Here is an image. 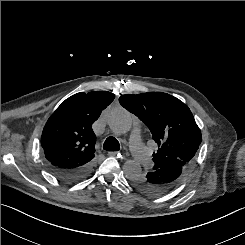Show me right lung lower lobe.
I'll use <instances>...</instances> for the list:
<instances>
[{"label": "right lung lower lobe", "instance_id": "right-lung-lower-lobe-1", "mask_svg": "<svg viewBox=\"0 0 245 245\" xmlns=\"http://www.w3.org/2000/svg\"><path fill=\"white\" fill-rule=\"evenodd\" d=\"M49 171L56 177L66 182H76L89 176L93 169V164L90 163L76 169L56 168L47 164Z\"/></svg>", "mask_w": 245, "mask_h": 245}]
</instances>
